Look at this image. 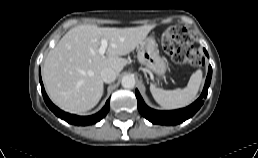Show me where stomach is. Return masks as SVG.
Listing matches in <instances>:
<instances>
[{
	"mask_svg": "<svg viewBox=\"0 0 258 158\" xmlns=\"http://www.w3.org/2000/svg\"><path fill=\"white\" fill-rule=\"evenodd\" d=\"M138 61L158 77L165 74L167 66L164 59L159 55L158 45L153 37L142 41L137 52Z\"/></svg>",
	"mask_w": 258,
	"mask_h": 158,
	"instance_id": "1",
	"label": "stomach"
}]
</instances>
